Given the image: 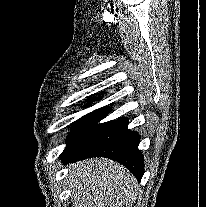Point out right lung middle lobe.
Segmentation results:
<instances>
[{
	"mask_svg": "<svg viewBox=\"0 0 206 207\" xmlns=\"http://www.w3.org/2000/svg\"><path fill=\"white\" fill-rule=\"evenodd\" d=\"M109 112V109L103 107L78 119L74 123V129L66 141L67 146L65 150H76L80 148L86 142L108 127L113 122V120L99 124L98 122H100V120H102Z\"/></svg>",
	"mask_w": 206,
	"mask_h": 207,
	"instance_id": "right-lung-middle-lobe-1",
	"label": "right lung middle lobe"
}]
</instances>
